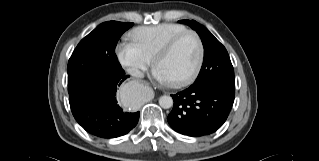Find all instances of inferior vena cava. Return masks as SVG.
Here are the masks:
<instances>
[{
	"instance_id": "inferior-vena-cava-1",
	"label": "inferior vena cava",
	"mask_w": 319,
	"mask_h": 161,
	"mask_svg": "<svg viewBox=\"0 0 319 161\" xmlns=\"http://www.w3.org/2000/svg\"><path fill=\"white\" fill-rule=\"evenodd\" d=\"M127 71L133 77L142 78L144 76L143 72L134 67L128 68Z\"/></svg>"
}]
</instances>
